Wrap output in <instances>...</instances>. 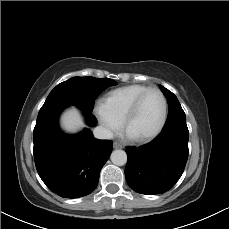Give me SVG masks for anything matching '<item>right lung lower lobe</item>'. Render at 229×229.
<instances>
[{
	"label": "right lung lower lobe",
	"mask_w": 229,
	"mask_h": 229,
	"mask_svg": "<svg viewBox=\"0 0 229 229\" xmlns=\"http://www.w3.org/2000/svg\"><path fill=\"white\" fill-rule=\"evenodd\" d=\"M40 110L33 135V154L42 181L64 198L90 194L112 151V142L98 140L90 130L69 136L58 126V117L65 108ZM90 126L97 123L91 111L82 109Z\"/></svg>",
	"instance_id": "right-lung-lower-lobe-1"
}]
</instances>
